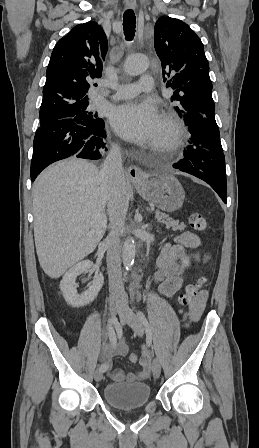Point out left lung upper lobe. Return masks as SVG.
<instances>
[{
    "mask_svg": "<svg viewBox=\"0 0 259 448\" xmlns=\"http://www.w3.org/2000/svg\"><path fill=\"white\" fill-rule=\"evenodd\" d=\"M154 46L166 87L175 89L171 101L180 103L174 107L178 115L191 112L215 117L209 63L195 32L179 19L162 16L155 24Z\"/></svg>",
    "mask_w": 259,
    "mask_h": 448,
    "instance_id": "obj_1",
    "label": "left lung upper lobe"
}]
</instances>
